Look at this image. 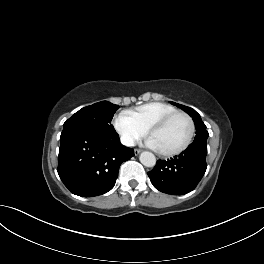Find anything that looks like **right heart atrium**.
<instances>
[{"label":"right heart atrium","instance_id":"right-heart-atrium-1","mask_svg":"<svg viewBox=\"0 0 264 264\" xmlns=\"http://www.w3.org/2000/svg\"><path fill=\"white\" fill-rule=\"evenodd\" d=\"M114 128L127 146H133L146 135V131L135 123L127 111L121 112L115 118Z\"/></svg>","mask_w":264,"mask_h":264}]
</instances>
